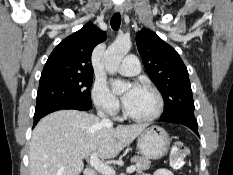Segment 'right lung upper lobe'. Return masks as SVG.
Returning a JSON list of instances; mask_svg holds the SVG:
<instances>
[{"label":"right lung upper lobe","instance_id":"obj_1","mask_svg":"<svg viewBox=\"0 0 233 175\" xmlns=\"http://www.w3.org/2000/svg\"><path fill=\"white\" fill-rule=\"evenodd\" d=\"M105 38L104 31L88 22L82 29L68 36L56 46L44 66L41 78L93 73L92 51Z\"/></svg>","mask_w":233,"mask_h":175}]
</instances>
